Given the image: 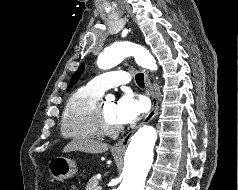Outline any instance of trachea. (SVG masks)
<instances>
[{
    "mask_svg": "<svg viewBox=\"0 0 238 190\" xmlns=\"http://www.w3.org/2000/svg\"><path fill=\"white\" fill-rule=\"evenodd\" d=\"M136 82L140 87H144V75L139 73L135 76Z\"/></svg>",
    "mask_w": 238,
    "mask_h": 190,
    "instance_id": "trachea-1",
    "label": "trachea"
}]
</instances>
